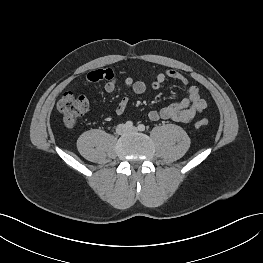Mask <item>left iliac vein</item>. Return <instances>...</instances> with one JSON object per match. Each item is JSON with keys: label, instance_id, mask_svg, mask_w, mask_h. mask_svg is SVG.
<instances>
[{"label": "left iliac vein", "instance_id": "1", "mask_svg": "<svg viewBox=\"0 0 263 263\" xmlns=\"http://www.w3.org/2000/svg\"><path fill=\"white\" fill-rule=\"evenodd\" d=\"M127 131L128 132H136L137 128L136 127H132V128L127 129Z\"/></svg>", "mask_w": 263, "mask_h": 263}]
</instances>
